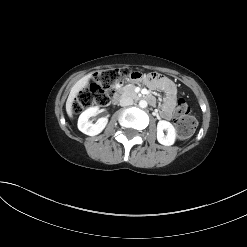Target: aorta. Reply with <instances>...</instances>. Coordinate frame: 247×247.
Returning a JSON list of instances; mask_svg holds the SVG:
<instances>
[{"label": "aorta", "instance_id": "aorta-1", "mask_svg": "<svg viewBox=\"0 0 247 247\" xmlns=\"http://www.w3.org/2000/svg\"><path fill=\"white\" fill-rule=\"evenodd\" d=\"M147 101H145V100H140L139 101V107L140 108H146L147 107Z\"/></svg>", "mask_w": 247, "mask_h": 247}]
</instances>
